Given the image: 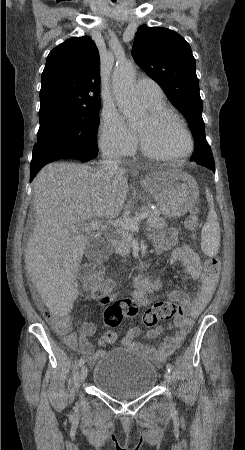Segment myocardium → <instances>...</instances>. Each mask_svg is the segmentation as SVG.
Here are the masks:
<instances>
[{
  "mask_svg": "<svg viewBox=\"0 0 245 450\" xmlns=\"http://www.w3.org/2000/svg\"><path fill=\"white\" fill-rule=\"evenodd\" d=\"M150 117L155 122H160L166 118L171 119L174 122H176L182 128V130L185 132V134L188 138V141H189V147L185 153L180 154V155H175V156L161 155L154 151H151L146 146V144L143 142L140 135L138 134V140H139V144L141 147V151L145 157H147L151 160H155V161L168 162V161L182 160V159L190 157L193 154V152L195 150V141L191 134V131L189 130V128L187 127L185 122L174 111H172L170 109H166V108L152 109L150 112Z\"/></svg>",
  "mask_w": 245,
  "mask_h": 450,
  "instance_id": "1",
  "label": "myocardium"
}]
</instances>
